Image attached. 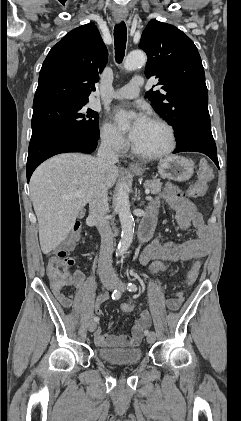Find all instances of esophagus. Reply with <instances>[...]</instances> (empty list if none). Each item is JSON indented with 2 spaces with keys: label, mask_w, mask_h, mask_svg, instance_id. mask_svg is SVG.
Wrapping results in <instances>:
<instances>
[{
  "label": "esophagus",
  "mask_w": 241,
  "mask_h": 421,
  "mask_svg": "<svg viewBox=\"0 0 241 421\" xmlns=\"http://www.w3.org/2000/svg\"><path fill=\"white\" fill-rule=\"evenodd\" d=\"M116 21H117V22H120V21H122V18H121V17H117V18H116ZM129 167L133 169V168H136V165H134V164H131V163H130V164H129Z\"/></svg>",
  "instance_id": "esophagus-1"
}]
</instances>
